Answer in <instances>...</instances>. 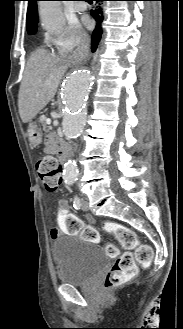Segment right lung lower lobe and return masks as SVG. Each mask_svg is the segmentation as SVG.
I'll return each mask as SVG.
<instances>
[{
    "instance_id": "98d812e1",
    "label": "right lung lower lobe",
    "mask_w": 183,
    "mask_h": 329,
    "mask_svg": "<svg viewBox=\"0 0 183 329\" xmlns=\"http://www.w3.org/2000/svg\"><path fill=\"white\" fill-rule=\"evenodd\" d=\"M94 1L99 2L104 0H94ZM91 15L96 21V28L92 33V52H95L102 36V22L104 19V15L101 8L91 10Z\"/></svg>"
}]
</instances>
